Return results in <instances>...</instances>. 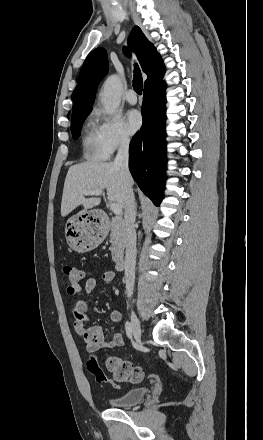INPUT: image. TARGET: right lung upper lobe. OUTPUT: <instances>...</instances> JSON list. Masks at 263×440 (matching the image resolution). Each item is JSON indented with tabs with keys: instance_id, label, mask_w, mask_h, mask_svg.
<instances>
[{
	"instance_id": "1",
	"label": "right lung upper lobe",
	"mask_w": 263,
	"mask_h": 440,
	"mask_svg": "<svg viewBox=\"0 0 263 440\" xmlns=\"http://www.w3.org/2000/svg\"><path fill=\"white\" fill-rule=\"evenodd\" d=\"M128 43L136 53L143 72L148 76L144 86L162 78L165 73L162 58L139 27L132 29ZM124 52L130 55L127 48H124ZM107 71V53L104 48L99 47L87 56L80 71L73 95L72 117L91 112L97 84Z\"/></svg>"
}]
</instances>
